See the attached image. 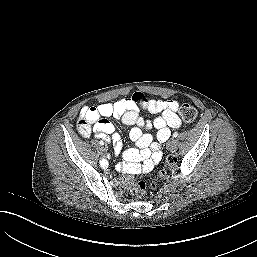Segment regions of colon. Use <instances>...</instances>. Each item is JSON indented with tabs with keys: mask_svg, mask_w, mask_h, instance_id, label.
I'll return each mask as SVG.
<instances>
[{
	"mask_svg": "<svg viewBox=\"0 0 257 257\" xmlns=\"http://www.w3.org/2000/svg\"><path fill=\"white\" fill-rule=\"evenodd\" d=\"M181 119L185 123H192L196 120L198 112L195 107L191 105H184L180 109ZM175 161L173 158L168 159L169 164H173ZM122 184L127 191L135 198H141L146 191V183L143 181H137L132 176L125 174L122 178Z\"/></svg>",
	"mask_w": 257,
	"mask_h": 257,
	"instance_id": "colon-1",
	"label": "colon"
}]
</instances>
